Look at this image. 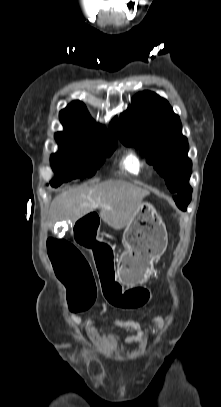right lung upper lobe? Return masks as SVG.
Here are the masks:
<instances>
[{"instance_id":"cb5924a9","label":"right lung upper lobe","mask_w":221,"mask_h":407,"mask_svg":"<svg viewBox=\"0 0 221 407\" xmlns=\"http://www.w3.org/2000/svg\"><path fill=\"white\" fill-rule=\"evenodd\" d=\"M59 117L65 131L55 134L58 141L88 144L117 142V119H113L111 132L108 133L91 118L85 105L80 101L69 104L60 112Z\"/></svg>"}]
</instances>
